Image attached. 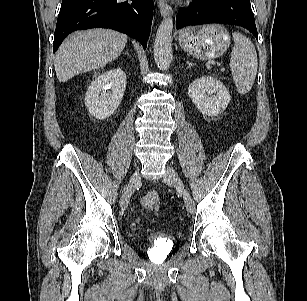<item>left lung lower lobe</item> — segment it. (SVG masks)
I'll return each mask as SVG.
<instances>
[{
    "instance_id": "0a47b994",
    "label": "left lung lower lobe",
    "mask_w": 307,
    "mask_h": 301,
    "mask_svg": "<svg viewBox=\"0 0 307 301\" xmlns=\"http://www.w3.org/2000/svg\"><path fill=\"white\" fill-rule=\"evenodd\" d=\"M207 23L238 25L248 29L258 40L250 0H192L191 7L176 16V27Z\"/></svg>"
}]
</instances>
